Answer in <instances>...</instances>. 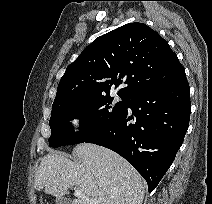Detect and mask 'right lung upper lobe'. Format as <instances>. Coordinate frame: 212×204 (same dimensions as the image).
I'll list each match as a JSON object with an SVG mask.
<instances>
[{"label":"right lung upper lobe","instance_id":"cb5924a9","mask_svg":"<svg viewBox=\"0 0 212 204\" xmlns=\"http://www.w3.org/2000/svg\"><path fill=\"white\" fill-rule=\"evenodd\" d=\"M184 68L166 40L143 23H129L94 40L62 76L52 109L109 95L126 76L129 95L166 84Z\"/></svg>","mask_w":212,"mask_h":204}]
</instances>
